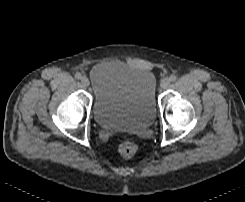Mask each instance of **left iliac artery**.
Listing matches in <instances>:
<instances>
[{
	"label": "left iliac artery",
	"instance_id": "44dca946",
	"mask_svg": "<svg viewBox=\"0 0 245 202\" xmlns=\"http://www.w3.org/2000/svg\"><path fill=\"white\" fill-rule=\"evenodd\" d=\"M176 79H177V77H176L175 75H171V76L169 77V80H170L171 82H174Z\"/></svg>",
	"mask_w": 245,
	"mask_h": 202
}]
</instances>
